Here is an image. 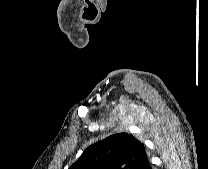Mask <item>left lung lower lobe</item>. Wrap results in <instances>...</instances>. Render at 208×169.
I'll return each mask as SVG.
<instances>
[{"label": "left lung lower lobe", "instance_id": "0a47b994", "mask_svg": "<svg viewBox=\"0 0 208 169\" xmlns=\"http://www.w3.org/2000/svg\"><path fill=\"white\" fill-rule=\"evenodd\" d=\"M144 169H151V165H150L149 161H148V163L146 164V166L144 167Z\"/></svg>", "mask_w": 208, "mask_h": 169}]
</instances>
